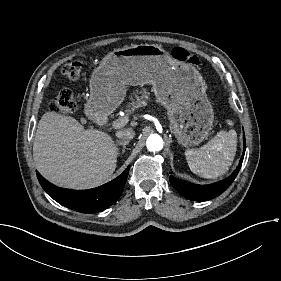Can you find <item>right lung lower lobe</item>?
I'll use <instances>...</instances> for the list:
<instances>
[{"instance_id":"1","label":"right lung lower lobe","mask_w":281,"mask_h":281,"mask_svg":"<svg viewBox=\"0 0 281 281\" xmlns=\"http://www.w3.org/2000/svg\"><path fill=\"white\" fill-rule=\"evenodd\" d=\"M129 168L130 166L109 183L89 190L63 189L49 183L38 172L37 177L42 188L61 205L82 213H94L108 208L118 200L124 189Z\"/></svg>"}]
</instances>
